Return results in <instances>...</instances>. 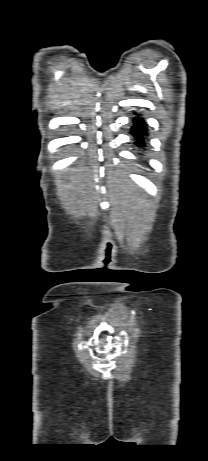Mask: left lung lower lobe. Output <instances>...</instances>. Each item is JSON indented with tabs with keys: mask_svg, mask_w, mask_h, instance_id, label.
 <instances>
[{
	"mask_svg": "<svg viewBox=\"0 0 208 461\" xmlns=\"http://www.w3.org/2000/svg\"><path fill=\"white\" fill-rule=\"evenodd\" d=\"M133 121L134 125L131 127V133L137 140L135 144L143 147L145 145L143 136L147 135V126L141 118H135Z\"/></svg>",
	"mask_w": 208,
	"mask_h": 461,
	"instance_id": "left-lung-lower-lobe-1",
	"label": "left lung lower lobe"
}]
</instances>
